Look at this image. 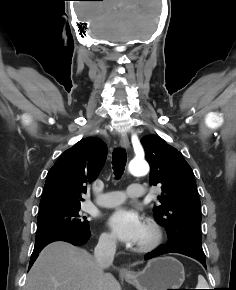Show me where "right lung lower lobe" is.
<instances>
[{
	"label": "right lung lower lobe",
	"instance_id": "98d812e1",
	"mask_svg": "<svg viewBox=\"0 0 236 290\" xmlns=\"http://www.w3.org/2000/svg\"><path fill=\"white\" fill-rule=\"evenodd\" d=\"M89 237H90V231L83 230V231H76V232L53 233V234H49L47 236L36 239L34 250L30 259L29 268H31V266L33 265L34 261L38 257V253L42 250V248L45 247L50 242L66 241L77 246V245H82L86 243Z\"/></svg>",
	"mask_w": 236,
	"mask_h": 290
}]
</instances>
